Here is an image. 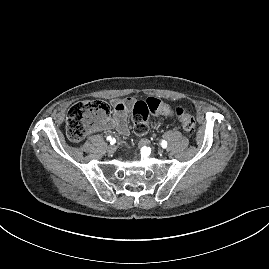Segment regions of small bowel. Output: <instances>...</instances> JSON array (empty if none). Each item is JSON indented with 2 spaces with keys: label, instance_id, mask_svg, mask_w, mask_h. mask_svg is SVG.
<instances>
[{
  "label": "small bowel",
  "instance_id": "small-bowel-1",
  "mask_svg": "<svg viewBox=\"0 0 269 269\" xmlns=\"http://www.w3.org/2000/svg\"><path fill=\"white\" fill-rule=\"evenodd\" d=\"M113 114L106 119L99 127L104 130H116L120 135L126 137L129 135V126L127 122L128 112L133 108L135 99L126 97L124 99H114L111 102Z\"/></svg>",
  "mask_w": 269,
  "mask_h": 269
}]
</instances>
